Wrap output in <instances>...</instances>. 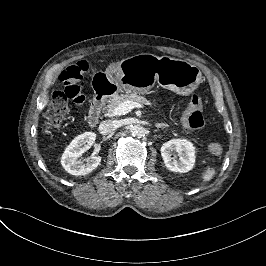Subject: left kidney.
<instances>
[{
	"label": "left kidney",
	"instance_id": "1",
	"mask_svg": "<svg viewBox=\"0 0 266 266\" xmlns=\"http://www.w3.org/2000/svg\"><path fill=\"white\" fill-rule=\"evenodd\" d=\"M161 155L168 170L178 173L190 171L194 165L195 151L187 140L174 139L162 145Z\"/></svg>",
	"mask_w": 266,
	"mask_h": 266
}]
</instances>
